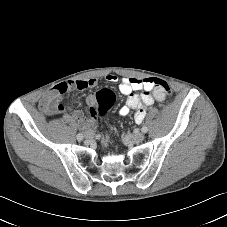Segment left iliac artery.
<instances>
[{
  "instance_id": "obj_1",
  "label": "left iliac artery",
  "mask_w": 227,
  "mask_h": 227,
  "mask_svg": "<svg viewBox=\"0 0 227 227\" xmlns=\"http://www.w3.org/2000/svg\"><path fill=\"white\" fill-rule=\"evenodd\" d=\"M141 131H142L143 133H146V132L148 131V128H147L146 126H143V127L141 128Z\"/></svg>"
}]
</instances>
